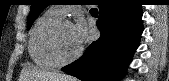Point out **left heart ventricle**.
Returning <instances> with one entry per match:
<instances>
[{
	"label": "left heart ventricle",
	"mask_w": 169,
	"mask_h": 81,
	"mask_svg": "<svg viewBox=\"0 0 169 81\" xmlns=\"http://www.w3.org/2000/svg\"><path fill=\"white\" fill-rule=\"evenodd\" d=\"M80 45L76 42L71 24L62 26L58 37V49L62 57L67 58L73 55Z\"/></svg>",
	"instance_id": "b2bd125f"
}]
</instances>
